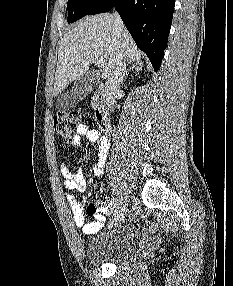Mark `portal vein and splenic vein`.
Masks as SVG:
<instances>
[{
  "instance_id": "1",
  "label": "portal vein and splenic vein",
  "mask_w": 233,
  "mask_h": 286,
  "mask_svg": "<svg viewBox=\"0 0 233 286\" xmlns=\"http://www.w3.org/2000/svg\"><path fill=\"white\" fill-rule=\"evenodd\" d=\"M96 63L101 68L105 67V61L103 59H96Z\"/></svg>"
}]
</instances>
